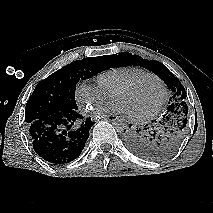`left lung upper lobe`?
Here are the masks:
<instances>
[{"instance_id":"obj_1","label":"left lung upper lobe","mask_w":213,"mask_h":213,"mask_svg":"<svg viewBox=\"0 0 213 213\" xmlns=\"http://www.w3.org/2000/svg\"><path fill=\"white\" fill-rule=\"evenodd\" d=\"M114 57L117 60L115 66L138 65L144 67L158 75L171 90L172 95L165 112L166 119L154 138L153 152L150 158L163 159L168 157L177 150L187 129L188 106L185 102L186 92L183 85L172 72L158 61L144 60L138 55L127 52Z\"/></svg>"}]
</instances>
